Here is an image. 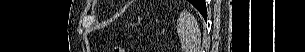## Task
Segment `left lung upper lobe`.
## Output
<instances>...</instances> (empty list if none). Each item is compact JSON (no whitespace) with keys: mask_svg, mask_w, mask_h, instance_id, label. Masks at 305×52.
Instances as JSON below:
<instances>
[{"mask_svg":"<svg viewBox=\"0 0 305 52\" xmlns=\"http://www.w3.org/2000/svg\"><path fill=\"white\" fill-rule=\"evenodd\" d=\"M190 3H192L195 7H200L203 5V1L201 0H189Z\"/></svg>","mask_w":305,"mask_h":52,"instance_id":"obj_1","label":"left lung upper lobe"}]
</instances>
